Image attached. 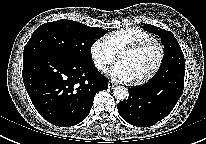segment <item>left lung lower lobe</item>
<instances>
[{"label":"left lung lower lobe","mask_w":206,"mask_h":144,"mask_svg":"<svg viewBox=\"0 0 206 144\" xmlns=\"http://www.w3.org/2000/svg\"><path fill=\"white\" fill-rule=\"evenodd\" d=\"M185 68H174L157 81L129 88V97L118 103L120 116L131 125L150 127L175 107L184 88Z\"/></svg>","instance_id":"1"}]
</instances>
